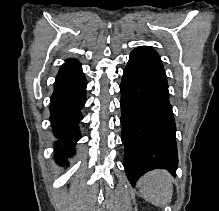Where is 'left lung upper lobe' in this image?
<instances>
[{"mask_svg": "<svg viewBox=\"0 0 219 211\" xmlns=\"http://www.w3.org/2000/svg\"><path fill=\"white\" fill-rule=\"evenodd\" d=\"M137 50H140L142 52H145V53H147V54H149L151 56H154V57L160 59V57L157 54V52L154 49H152L151 47L141 46V47L137 48Z\"/></svg>", "mask_w": 219, "mask_h": 211, "instance_id": "obj_1", "label": "left lung upper lobe"}]
</instances>
